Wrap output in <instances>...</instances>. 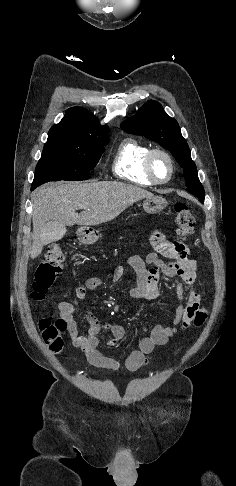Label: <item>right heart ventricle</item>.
<instances>
[{
  "label": "right heart ventricle",
  "instance_id": "obj_1",
  "mask_svg": "<svg viewBox=\"0 0 236 486\" xmlns=\"http://www.w3.org/2000/svg\"><path fill=\"white\" fill-rule=\"evenodd\" d=\"M150 147L134 138L123 140L113 159V171L117 177L127 182L151 186L153 183L144 172V159Z\"/></svg>",
  "mask_w": 236,
  "mask_h": 486
}]
</instances>
